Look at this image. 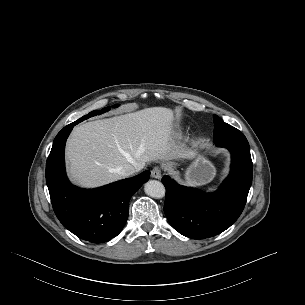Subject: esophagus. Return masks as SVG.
<instances>
[{
    "label": "esophagus",
    "instance_id": "obj_1",
    "mask_svg": "<svg viewBox=\"0 0 305 305\" xmlns=\"http://www.w3.org/2000/svg\"><path fill=\"white\" fill-rule=\"evenodd\" d=\"M162 176L161 168L156 166L151 170V177L155 179H160Z\"/></svg>",
    "mask_w": 305,
    "mask_h": 305
}]
</instances>
